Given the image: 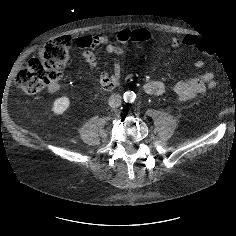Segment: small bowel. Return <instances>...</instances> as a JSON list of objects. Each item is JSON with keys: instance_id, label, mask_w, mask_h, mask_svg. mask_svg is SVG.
<instances>
[{"instance_id": "c3829d8e", "label": "small bowel", "mask_w": 236, "mask_h": 236, "mask_svg": "<svg viewBox=\"0 0 236 236\" xmlns=\"http://www.w3.org/2000/svg\"><path fill=\"white\" fill-rule=\"evenodd\" d=\"M151 39V33L145 29H122L116 35V43L110 42V39L107 35H95L80 36L76 38L75 44L79 48L87 49L82 54L84 61L93 70L101 86L105 90H112L119 85L122 75L120 59L123 51L120 45L128 42H146L150 41ZM202 43V40L195 34H188L181 38L175 37L171 40V45L173 47L200 46L202 45ZM100 46H105L106 51L112 57V75L103 72L99 68L96 56L91 50ZM204 66L205 62L203 60H198L194 63V67L196 69H201ZM215 85V74L213 72H205L195 77H191L175 83H167L160 80H151L142 84V90L146 94L150 95H158L171 90L176 95L179 101L185 102L206 93L208 89L213 88ZM59 88L60 86L58 83L51 84L48 86V92L56 93Z\"/></svg>"}]
</instances>
